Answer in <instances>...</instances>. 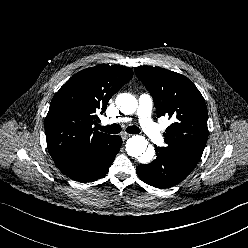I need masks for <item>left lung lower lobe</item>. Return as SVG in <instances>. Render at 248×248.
I'll use <instances>...</instances> for the list:
<instances>
[{
  "mask_svg": "<svg viewBox=\"0 0 248 248\" xmlns=\"http://www.w3.org/2000/svg\"><path fill=\"white\" fill-rule=\"evenodd\" d=\"M157 158L146 165L136 168L138 176L145 183L156 188H169L183 181L190 170L182 167L174 159L159 151L155 147Z\"/></svg>",
  "mask_w": 248,
  "mask_h": 248,
  "instance_id": "0a47b994",
  "label": "left lung lower lobe"
}]
</instances>
